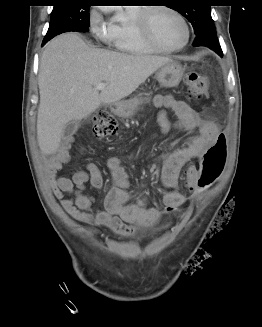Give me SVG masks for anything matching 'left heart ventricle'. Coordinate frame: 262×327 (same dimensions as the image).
Masks as SVG:
<instances>
[{
  "mask_svg": "<svg viewBox=\"0 0 262 327\" xmlns=\"http://www.w3.org/2000/svg\"><path fill=\"white\" fill-rule=\"evenodd\" d=\"M150 26L156 40L165 47H178L185 40L186 32L183 23L168 11L152 12Z\"/></svg>",
  "mask_w": 262,
  "mask_h": 327,
  "instance_id": "left-heart-ventricle-1",
  "label": "left heart ventricle"
}]
</instances>
